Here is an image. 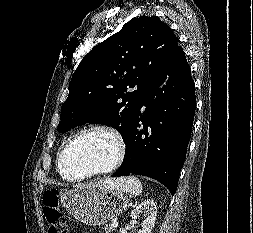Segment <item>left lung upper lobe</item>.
Masks as SVG:
<instances>
[{"label":"left lung upper lobe","mask_w":253,"mask_h":233,"mask_svg":"<svg viewBox=\"0 0 253 233\" xmlns=\"http://www.w3.org/2000/svg\"><path fill=\"white\" fill-rule=\"evenodd\" d=\"M178 42L156 16L125 23L78 65L57 131L98 123L114 127L124 138L145 95L163 77Z\"/></svg>","instance_id":"left-lung-upper-lobe-1"}]
</instances>
